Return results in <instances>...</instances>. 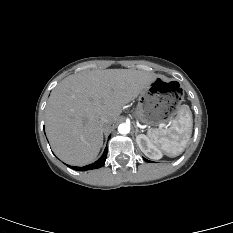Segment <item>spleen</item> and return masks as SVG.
Returning <instances> with one entry per match:
<instances>
[{"label": "spleen", "instance_id": "obj_1", "mask_svg": "<svg viewBox=\"0 0 233 233\" xmlns=\"http://www.w3.org/2000/svg\"><path fill=\"white\" fill-rule=\"evenodd\" d=\"M193 119L188 105H182L171 127L151 129L148 131L150 140L167 156L175 157L181 154L192 133Z\"/></svg>", "mask_w": 233, "mask_h": 233}]
</instances>
